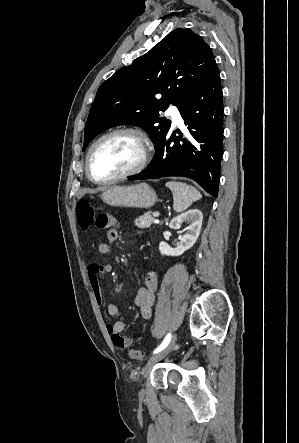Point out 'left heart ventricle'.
Listing matches in <instances>:
<instances>
[{
	"label": "left heart ventricle",
	"instance_id": "left-heart-ventricle-1",
	"mask_svg": "<svg viewBox=\"0 0 299 443\" xmlns=\"http://www.w3.org/2000/svg\"><path fill=\"white\" fill-rule=\"evenodd\" d=\"M140 156L141 147L135 137L112 136L95 148L91 158L92 174L97 179L111 178L134 166Z\"/></svg>",
	"mask_w": 299,
	"mask_h": 443
}]
</instances>
